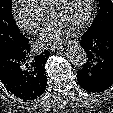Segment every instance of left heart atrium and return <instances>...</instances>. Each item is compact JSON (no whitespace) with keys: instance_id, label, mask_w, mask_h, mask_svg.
<instances>
[{"instance_id":"1","label":"left heart atrium","mask_w":113,"mask_h":113,"mask_svg":"<svg viewBox=\"0 0 113 113\" xmlns=\"http://www.w3.org/2000/svg\"><path fill=\"white\" fill-rule=\"evenodd\" d=\"M73 28L52 21L41 34L38 44L42 47L55 46L71 35Z\"/></svg>"}]
</instances>
